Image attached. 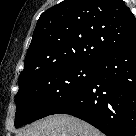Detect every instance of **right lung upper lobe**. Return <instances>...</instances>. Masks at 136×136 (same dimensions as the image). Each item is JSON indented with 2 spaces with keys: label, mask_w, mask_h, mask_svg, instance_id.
I'll return each mask as SVG.
<instances>
[{
  "label": "right lung upper lobe",
  "mask_w": 136,
  "mask_h": 136,
  "mask_svg": "<svg viewBox=\"0 0 136 136\" xmlns=\"http://www.w3.org/2000/svg\"><path fill=\"white\" fill-rule=\"evenodd\" d=\"M136 39V19L122 0H64L38 19L19 83L47 68L96 64Z\"/></svg>",
  "instance_id": "cb5924a9"
}]
</instances>
